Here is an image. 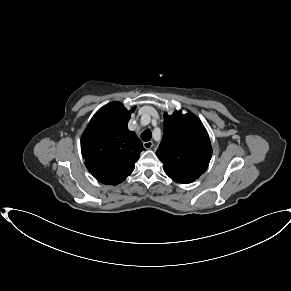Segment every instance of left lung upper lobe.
Masks as SVG:
<instances>
[{
    "mask_svg": "<svg viewBox=\"0 0 291 291\" xmlns=\"http://www.w3.org/2000/svg\"><path fill=\"white\" fill-rule=\"evenodd\" d=\"M156 154L172 180L188 184L206 171L212 146L205 127L196 116L176 111L170 116L164 115L163 139Z\"/></svg>",
    "mask_w": 291,
    "mask_h": 291,
    "instance_id": "obj_1",
    "label": "left lung upper lobe"
}]
</instances>
